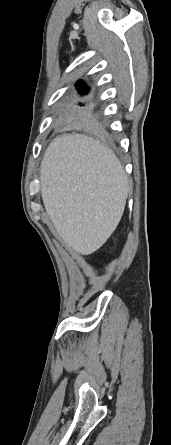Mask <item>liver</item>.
Masks as SVG:
<instances>
[{
    "label": "liver",
    "mask_w": 171,
    "mask_h": 445,
    "mask_svg": "<svg viewBox=\"0 0 171 445\" xmlns=\"http://www.w3.org/2000/svg\"><path fill=\"white\" fill-rule=\"evenodd\" d=\"M40 184L58 235L81 255L98 250L114 232L130 188L114 152L83 134H64L50 143Z\"/></svg>",
    "instance_id": "6515ba94"
}]
</instances>
